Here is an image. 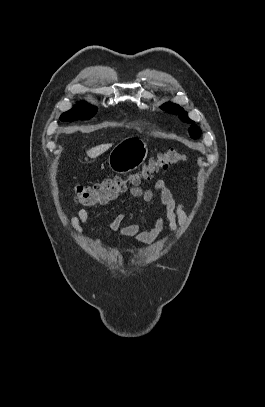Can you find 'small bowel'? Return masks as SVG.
Instances as JSON below:
<instances>
[{"label": "small bowel", "mask_w": 265, "mask_h": 407, "mask_svg": "<svg viewBox=\"0 0 265 407\" xmlns=\"http://www.w3.org/2000/svg\"><path fill=\"white\" fill-rule=\"evenodd\" d=\"M155 189L160 194V201L164 208V217L158 218L154 226L149 230H143L141 224L133 223L122 227V223L125 219L124 214L117 215L113 220L107 222L102 227L89 224V213L86 209H79L77 214L70 219L71 225L74 231L81 235L83 234V226H87L89 230L96 234L100 229L107 231H117L129 238H133L138 243L147 244L156 240L165 228L171 233H175L178 230V225L187 222V215L183 210V206L178 204L167 183L164 180H158L155 184ZM130 195L134 198H142L145 202L149 203L154 198V192L150 189L143 190L140 187L134 186L130 189ZM94 243L102 247L104 245L103 240L98 236H94Z\"/></svg>", "instance_id": "obj_1"}]
</instances>
